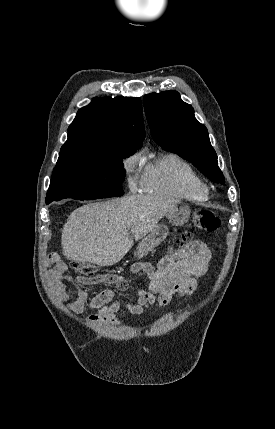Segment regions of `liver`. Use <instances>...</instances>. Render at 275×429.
Instances as JSON below:
<instances>
[{
    "mask_svg": "<svg viewBox=\"0 0 275 429\" xmlns=\"http://www.w3.org/2000/svg\"><path fill=\"white\" fill-rule=\"evenodd\" d=\"M176 204L158 196L132 195L83 205L63 227V252L74 262L116 264L132 248L133 238L145 237Z\"/></svg>",
    "mask_w": 275,
    "mask_h": 429,
    "instance_id": "1",
    "label": "liver"
}]
</instances>
